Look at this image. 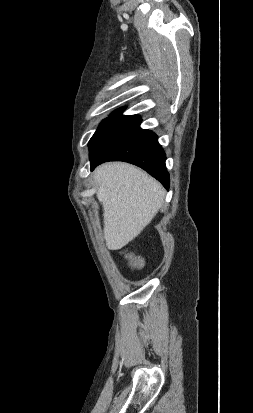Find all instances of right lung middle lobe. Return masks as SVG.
<instances>
[{
	"label": "right lung middle lobe",
	"mask_w": 253,
	"mask_h": 413,
	"mask_svg": "<svg viewBox=\"0 0 253 413\" xmlns=\"http://www.w3.org/2000/svg\"><path fill=\"white\" fill-rule=\"evenodd\" d=\"M142 119L137 116L111 115L98 127L89 141L91 162L105 156L118 144L140 128Z\"/></svg>",
	"instance_id": "obj_1"
}]
</instances>
